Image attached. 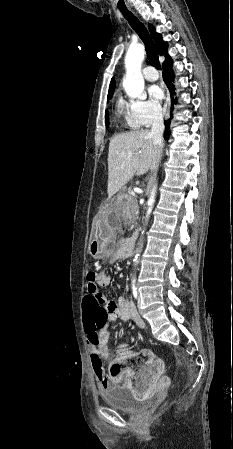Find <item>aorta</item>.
<instances>
[{
	"instance_id": "obj_1",
	"label": "aorta",
	"mask_w": 233,
	"mask_h": 449,
	"mask_svg": "<svg viewBox=\"0 0 233 449\" xmlns=\"http://www.w3.org/2000/svg\"><path fill=\"white\" fill-rule=\"evenodd\" d=\"M144 47L141 44L131 45L127 51L125 57L126 75L123 79V87L126 94L130 98L146 99V93L144 92V79L141 73V65L144 60ZM156 185L153 187L149 200L148 209L146 213V219L149 218L153 205L155 203ZM144 231H142V234ZM138 256L136 254L134 263H138Z\"/></svg>"
}]
</instances>
